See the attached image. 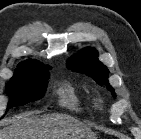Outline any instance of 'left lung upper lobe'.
Listing matches in <instances>:
<instances>
[{"instance_id": "obj_1", "label": "left lung upper lobe", "mask_w": 141, "mask_h": 139, "mask_svg": "<svg viewBox=\"0 0 141 139\" xmlns=\"http://www.w3.org/2000/svg\"><path fill=\"white\" fill-rule=\"evenodd\" d=\"M67 67L72 71L85 73L99 85H106L107 89L113 92V97H116L108 82L109 70L98 60V52L94 48H85L72 56L67 62Z\"/></svg>"}]
</instances>
